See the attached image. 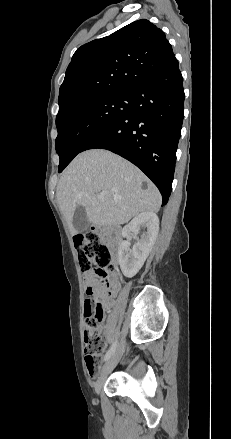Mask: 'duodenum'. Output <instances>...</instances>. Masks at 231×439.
<instances>
[{
    "label": "duodenum",
    "mask_w": 231,
    "mask_h": 439,
    "mask_svg": "<svg viewBox=\"0 0 231 439\" xmlns=\"http://www.w3.org/2000/svg\"><path fill=\"white\" fill-rule=\"evenodd\" d=\"M107 231H108V234H110L112 236L119 235V231L116 228L109 227Z\"/></svg>",
    "instance_id": "1"
}]
</instances>
